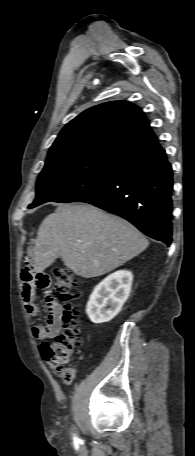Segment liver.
Here are the masks:
<instances>
[{
	"label": "liver",
	"instance_id": "liver-1",
	"mask_svg": "<svg viewBox=\"0 0 195 456\" xmlns=\"http://www.w3.org/2000/svg\"><path fill=\"white\" fill-rule=\"evenodd\" d=\"M149 245L128 221L88 204L60 205L42 221L34 250L35 268L44 271L60 257L76 275H104Z\"/></svg>",
	"mask_w": 195,
	"mask_h": 456
}]
</instances>
